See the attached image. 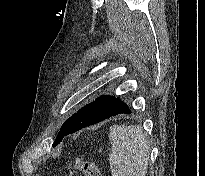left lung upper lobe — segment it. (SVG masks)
<instances>
[{
  "instance_id": "obj_1",
  "label": "left lung upper lobe",
  "mask_w": 205,
  "mask_h": 176,
  "mask_svg": "<svg viewBox=\"0 0 205 176\" xmlns=\"http://www.w3.org/2000/svg\"><path fill=\"white\" fill-rule=\"evenodd\" d=\"M74 116H75V114H73L69 119H67L63 123V125H62V127L60 129V132H59L55 142L53 143V146H56L63 139V135H64L65 131L67 130V128L69 127V125H70L72 119L74 118Z\"/></svg>"
}]
</instances>
